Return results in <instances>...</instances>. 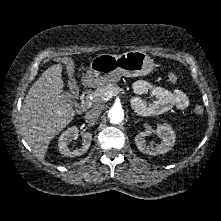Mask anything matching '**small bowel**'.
<instances>
[{"label":"small bowel","instance_id":"c3829d8e","mask_svg":"<svg viewBox=\"0 0 221 221\" xmlns=\"http://www.w3.org/2000/svg\"><path fill=\"white\" fill-rule=\"evenodd\" d=\"M135 97L132 100L134 108L145 114H162L173 107L185 110L189 106L187 95L180 89H169L164 86L154 85L145 80H138L133 84ZM149 93L154 101L146 104L141 96Z\"/></svg>","mask_w":221,"mask_h":221}]
</instances>
